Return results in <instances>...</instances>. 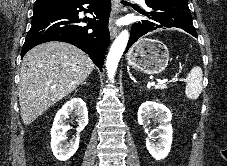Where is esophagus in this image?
Segmentation results:
<instances>
[{"instance_id":"esophagus-1","label":"esophagus","mask_w":227,"mask_h":166,"mask_svg":"<svg viewBox=\"0 0 227 166\" xmlns=\"http://www.w3.org/2000/svg\"><path fill=\"white\" fill-rule=\"evenodd\" d=\"M122 11L121 0H112V16L110 19V36L114 38L119 33V28L115 25L117 15Z\"/></svg>"}]
</instances>
